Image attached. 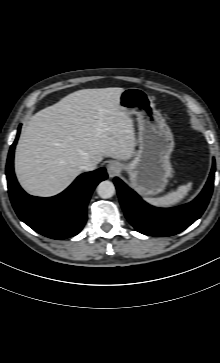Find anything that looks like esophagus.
Instances as JSON below:
<instances>
[{"label":"esophagus","mask_w":220,"mask_h":363,"mask_svg":"<svg viewBox=\"0 0 220 363\" xmlns=\"http://www.w3.org/2000/svg\"><path fill=\"white\" fill-rule=\"evenodd\" d=\"M120 170H121L120 165L116 162H110L107 165V172H108L109 177H111V178H113L117 174H119Z\"/></svg>","instance_id":"esophagus-1"}]
</instances>
